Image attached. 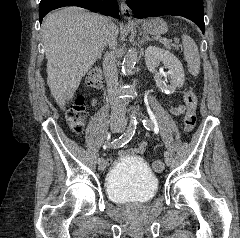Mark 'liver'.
Wrapping results in <instances>:
<instances>
[{
    "label": "liver",
    "instance_id": "6515ba94",
    "mask_svg": "<svg viewBox=\"0 0 240 238\" xmlns=\"http://www.w3.org/2000/svg\"><path fill=\"white\" fill-rule=\"evenodd\" d=\"M97 17L78 7H66L48 14L42 23L47 84L63 110L104 47L117 46L118 27L111 21L105 30Z\"/></svg>",
    "mask_w": 240,
    "mask_h": 238
}]
</instances>
